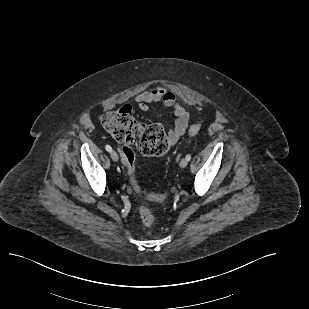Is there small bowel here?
Returning <instances> with one entry per match:
<instances>
[{
	"label": "small bowel",
	"instance_id": "1",
	"mask_svg": "<svg viewBox=\"0 0 309 309\" xmlns=\"http://www.w3.org/2000/svg\"><path fill=\"white\" fill-rule=\"evenodd\" d=\"M135 100L139 109L144 112L149 110L152 103H162L164 106L172 108L175 123L167 134L169 145H174L185 134L189 123V112L166 87L157 85L149 91L140 92L136 95Z\"/></svg>",
	"mask_w": 309,
	"mask_h": 309
}]
</instances>
